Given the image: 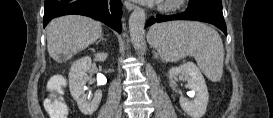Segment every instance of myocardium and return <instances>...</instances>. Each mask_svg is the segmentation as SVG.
Instances as JSON below:
<instances>
[{
	"mask_svg": "<svg viewBox=\"0 0 273 118\" xmlns=\"http://www.w3.org/2000/svg\"><path fill=\"white\" fill-rule=\"evenodd\" d=\"M184 0H165L162 2L160 8L161 10H174L179 7V5L183 2Z\"/></svg>",
	"mask_w": 273,
	"mask_h": 118,
	"instance_id": "obj_1",
	"label": "myocardium"
}]
</instances>
